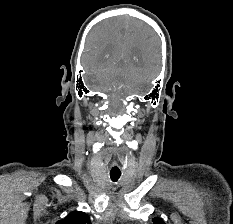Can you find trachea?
Returning a JSON list of instances; mask_svg holds the SVG:
<instances>
[{
  "label": "trachea",
  "mask_w": 233,
  "mask_h": 224,
  "mask_svg": "<svg viewBox=\"0 0 233 224\" xmlns=\"http://www.w3.org/2000/svg\"><path fill=\"white\" fill-rule=\"evenodd\" d=\"M121 176V172H110V178L113 182L118 181Z\"/></svg>",
  "instance_id": "trachea-1"
}]
</instances>
